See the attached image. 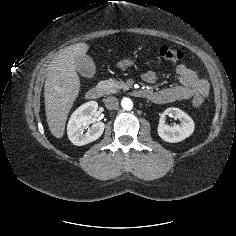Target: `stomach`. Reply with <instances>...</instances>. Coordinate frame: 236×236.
I'll return each mask as SVG.
<instances>
[{
  "mask_svg": "<svg viewBox=\"0 0 236 236\" xmlns=\"http://www.w3.org/2000/svg\"><path fill=\"white\" fill-rule=\"evenodd\" d=\"M133 64H134L133 60L123 59V60L119 61L116 66L120 69H126V68L130 67Z\"/></svg>",
  "mask_w": 236,
  "mask_h": 236,
  "instance_id": "stomach-1",
  "label": "stomach"
}]
</instances>
